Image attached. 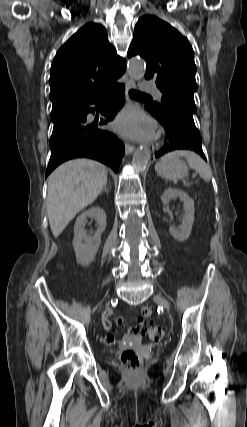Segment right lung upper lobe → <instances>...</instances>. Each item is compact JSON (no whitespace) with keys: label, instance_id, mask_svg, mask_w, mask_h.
Returning a JSON list of instances; mask_svg holds the SVG:
<instances>
[{"label":"right lung upper lobe","instance_id":"cb5924a9","mask_svg":"<svg viewBox=\"0 0 247 427\" xmlns=\"http://www.w3.org/2000/svg\"><path fill=\"white\" fill-rule=\"evenodd\" d=\"M125 69V60L109 43L106 29L97 23L84 25L53 60L49 79L52 109L104 95Z\"/></svg>","mask_w":247,"mask_h":427}]
</instances>
